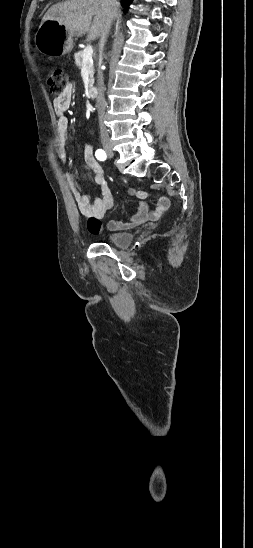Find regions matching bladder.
<instances>
[{
    "label": "bladder",
    "instance_id": "bladder-1",
    "mask_svg": "<svg viewBox=\"0 0 253 548\" xmlns=\"http://www.w3.org/2000/svg\"><path fill=\"white\" fill-rule=\"evenodd\" d=\"M133 237L134 235L130 232H117L106 234L101 237V240L118 247H126L132 242Z\"/></svg>",
    "mask_w": 253,
    "mask_h": 548
}]
</instances>
